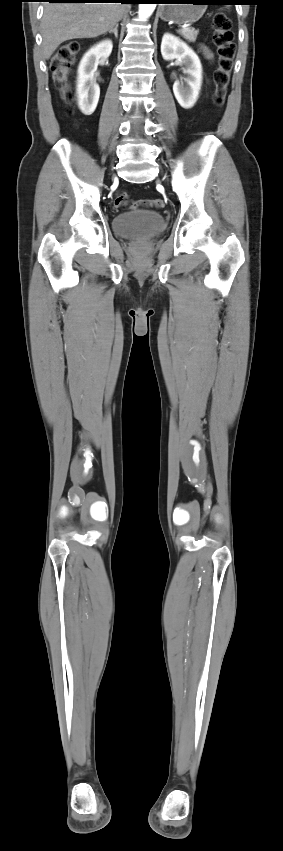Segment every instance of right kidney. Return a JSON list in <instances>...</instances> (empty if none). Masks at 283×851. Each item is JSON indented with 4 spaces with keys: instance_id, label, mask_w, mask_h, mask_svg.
I'll return each mask as SVG.
<instances>
[{
    "instance_id": "1",
    "label": "right kidney",
    "mask_w": 283,
    "mask_h": 851,
    "mask_svg": "<svg viewBox=\"0 0 283 851\" xmlns=\"http://www.w3.org/2000/svg\"><path fill=\"white\" fill-rule=\"evenodd\" d=\"M111 40H104L90 48L83 56L77 77L78 107L84 115H91L98 104L100 87L94 80L99 60L108 58L112 52Z\"/></svg>"
}]
</instances>
